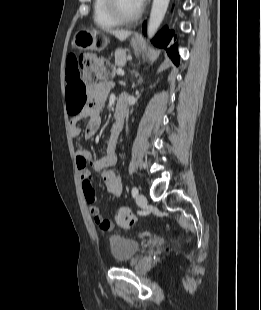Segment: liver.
<instances>
[{
	"label": "liver",
	"instance_id": "obj_1",
	"mask_svg": "<svg viewBox=\"0 0 261 310\" xmlns=\"http://www.w3.org/2000/svg\"><path fill=\"white\" fill-rule=\"evenodd\" d=\"M110 33L120 41L126 40L131 35V31L128 30H113Z\"/></svg>",
	"mask_w": 261,
	"mask_h": 310
}]
</instances>
